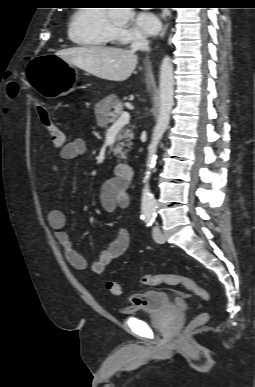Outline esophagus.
<instances>
[{
	"label": "esophagus",
	"instance_id": "obj_1",
	"mask_svg": "<svg viewBox=\"0 0 255 387\" xmlns=\"http://www.w3.org/2000/svg\"><path fill=\"white\" fill-rule=\"evenodd\" d=\"M167 28H168V23H166V24L164 25V27H163V29H162V32H161V34H160V37H163V36H164V34H165Z\"/></svg>",
	"mask_w": 255,
	"mask_h": 387
}]
</instances>
